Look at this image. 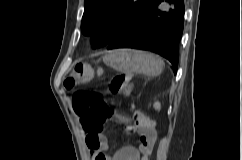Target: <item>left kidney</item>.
I'll return each mask as SVG.
<instances>
[{
    "instance_id": "obj_1",
    "label": "left kidney",
    "mask_w": 242,
    "mask_h": 160,
    "mask_svg": "<svg viewBox=\"0 0 242 160\" xmlns=\"http://www.w3.org/2000/svg\"><path fill=\"white\" fill-rule=\"evenodd\" d=\"M157 109H159L160 108V104L159 103H155V105H154Z\"/></svg>"
}]
</instances>
